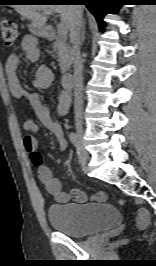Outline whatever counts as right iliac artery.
<instances>
[{
    "label": "right iliac artery",
    "mask_w": 156,
    "mask_h": 266,
    "mask_svg": "<svg viewBox=\"0 0 156 266\" xmlns=\"http://www.w3.org/2000/svg\"><path fill=\"white\" fill-rule=\"evenodd\" d=\"M69 139L72 142V144L76 147L77 150V155H78V161L79 163H81V148H80V141H79V137L76 133L71 132L69 134Z\"/></svg>",
    "instance_id": "obj_1"
}]
</instances>
